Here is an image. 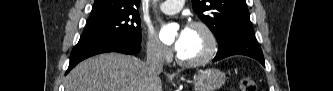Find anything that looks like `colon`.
<instances>
[{
  "label": "colon",
  "mask_w": 333,
  "mask_h": 91,
  "mask_svg": "<svg viewBox=\"0 0 333 91\" xmlns=\"http://www.w3.org/2000/svg\"><path fill=\"white\" fill-rule=\"evenodd\" d=\"M241 91H257L256 83L248 76H243L240 80Z\"/></svg>",
  "instance_id": "5ec220e1"
}]
</instances>
